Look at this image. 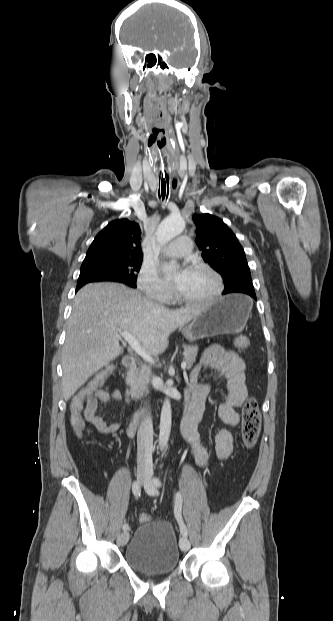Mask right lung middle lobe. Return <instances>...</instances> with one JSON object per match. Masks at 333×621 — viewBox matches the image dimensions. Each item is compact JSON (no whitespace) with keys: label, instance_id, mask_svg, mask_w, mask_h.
I'll use <instances>...</instances> for the list:
<instances>
[{"label":"right lung middle lobe","instance_id":"obj_1","mask_svg":"<svg viewBox=\"0 0 333 621\" xmlns=\"http://www.w3.org/2000/svg\"><path fill=\"white\" fill-rule=\"evenodd\" d=\"M141 263L142 259L136 258L84 260L80 269L78 283L115 281L130 287H136V273L139 272Z\"/></svg>","mask_w":333,"mask_h":621}]
</instances>
